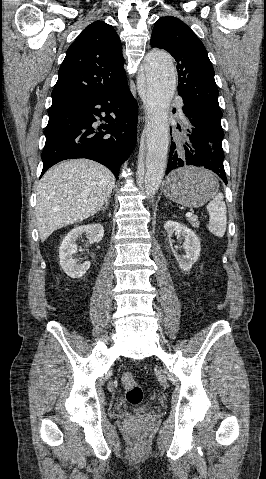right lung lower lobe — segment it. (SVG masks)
I'll use <instances>...</instances> for the list:
<instances>
[{"mask_svg": "<svg viewBox=\"0 0 266 479\" xmlns=\"http://www.w3.org/2000/svg\"><path fill=\"white\" fill-rule=\"evenodd\" d=\"M48 114L41 176L62 160L87 158L118 178L137 133L138 105L127 81L116 88L53 100ZM99 120L102 124L97 126Z\"/></svg>", "mask_w": 266, "mask_h": 479, "instance_id": "98d812e1", "label": "right lung lower lobe"}]
</instances>
